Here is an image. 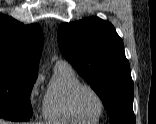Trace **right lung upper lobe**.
Listing matches in <instances>:
<instances>
[{"mask_svg": "<svg viewBox=\"0 0 156 124\" xmlns=\"http://www.w3.org/2000/svg\"><path fill=\"white\" fill-rule=\"evenodd\" d=\"M43 48L38 24L24 25L0 14V67L37 72Z\"/></svg>", "mask_w": 156, "mask_h": 124, "instance_id": "right-lung-upper-lobe-1", "label": "right lung upper lobe"}]
</instances>
